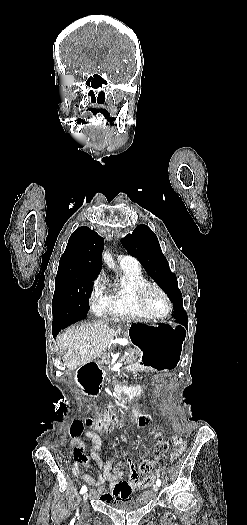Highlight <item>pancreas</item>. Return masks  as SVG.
<instances>
[{"mask_svg": "<svg viewBox=\"0 0 247 525\" xmlns=\"http://www.w3.org/2000/svg\"><path fill=\"white\" fill-rule=\"evenodd\" d=\"M126 353H130V356H125V360H129V361L142 360V355H138L137 350L128 348L126 350ZM100 361H101V364H107V358H105V355H101Z\"/></svg>", "mask_w": 247, "mask_h": 525, "instance_id": "cf45deb5", "label": "pancreas"}]
</instances>
